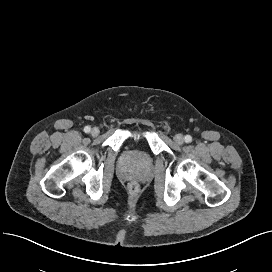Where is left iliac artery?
I'll use <instances>...</instances> for the list:
<instances>
[{
    "instance_id": "left-iliac-artery-1",
    "label": "left iliac artery",
    "mask_w": 272,
    "mask_h": 272,
    "mask_svg": "<svg viewBox=\"0 0 272 272\" xmlns=\"http://www.w3.org/2000/svg\"><path fill=\"white\" fill-rule=\"evenodd\" d=\"M192 141V137L190 135L185 136V142L190 143Z\"/></svg>"
}]
</instances>
